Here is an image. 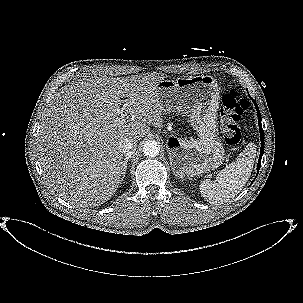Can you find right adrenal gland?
<instances>
[{
	"label": "right adrenal gland",
	"instance_id": "2a0ac1e0",
	"mask_svg": "<svg viewBox=\"0 0 303 303\" xmlns=\"http://www.w3.org/2000/svg\"><path fill=\"white\" fill-rule=\"evenodd\" d=\"M129 158L130 157L125 158V161H124V171H123V176H122L121 181H123V179L125 177V174H126V171H127V163H128Z\"/></svg>",
	"mask_w": 303,
	"mask_h": 303
}]
</instances>
